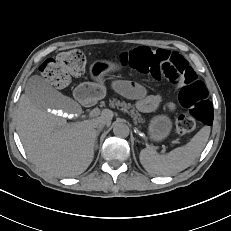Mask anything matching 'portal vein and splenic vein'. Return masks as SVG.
Here are the masks:
<instances>
[{
    "mask_svg": "<svg viewBox=\"0 0 231 231\" xmlns=\"http://www.w3.org/2000/svg\"><path fill=\"white\" fill-rule=\"evenodd\" d=\"M100 114H101L100 109L99 108H94L89 112L88 116L89 117H96V116H98Z\"/></svg>",
    "mask_w": 231,
    "mask_h": 231,
    "instance_id": "portal-vein-and-splenic-vein-1",
    "label": "portal vein and splenic vein"
}]
</instances>
